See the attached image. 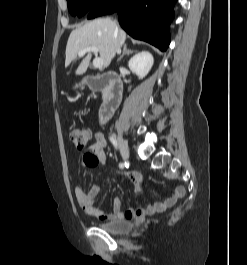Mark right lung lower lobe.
Segmentation results:
<instances>
[{
    "mask_svg": "<svg viewBox=\"0 0 247 265\" xmlns=\"http://www.w3.org/2000/svg\"><path fill=\"white\" fill-rule=\"evenodd\" d=\"M176 0H106L88 14L92 19L117 12L121 27L133 38L165 51L170 43L169 25Z\"/></svg>",
    "mask_w": 247,
    "mask_h": 265,
    "instance_id": "1",
    "label": "right lung lower lobe"
}]
</instances>
